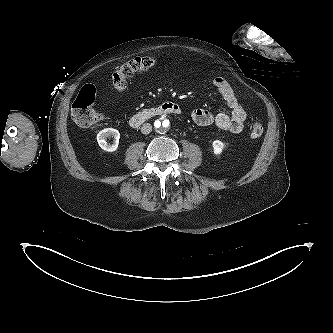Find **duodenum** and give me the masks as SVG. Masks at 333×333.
I'll list each match as a JSON object with an SVG mask.
<instances>
[{
	"instance_id": "410a0bca",
	"label": "duodenum",
	"mask_w": 333,
	"mask_h": 333,
	"mask_svg": "<svg viewBox=\"0 0 333 333\" xmlns=\"http://www.w3.org/2000/svg\"><path fill=\"white\" fill-rule=\"evenodd\" d=\"M181 108L180 106L175 102H165L161 105H158L156 107L147 108L144 109L136 114H134L130 120L129 124L133 128H138L141 126L144 122L147 120L162 116V115H168V114H180Z\"/></svg>"
}]
</instances>
